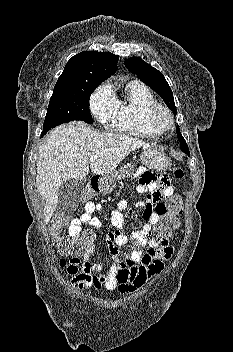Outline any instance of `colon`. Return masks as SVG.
Returning a JSON list of instances; mask_svg holds the SVG:
<instances>
[{
  "instance_id": "1",
  "label": "colon",
  "mask_w": 233,
  "mask_h": 352,
  "mask_svg": "<svg viewBox=\"0 0 233 352\" xmlns=\"http://www.w3.org/2000/svg\"><path fill=\"white\" fill-rule=\"evenodd\" d=\"M174 175L177 179H182L184 172L181 168L174 170ZM88 195L86 194L85 197ZM160 214V222L157 226V233L165 235L170 231L176 229L179 225L178 216L182 213V200L179 196L170 197L166 203H161L156 207ZM67 219L60 217L50 226V233L57 251L64 256H77L82 254L86 246L93 240V234L90 231L85 232L80 238H68L61 236V231ZM93 285L100 288L101 279L98 276L93 277Z\"/></svg>"
}]
</instances>
